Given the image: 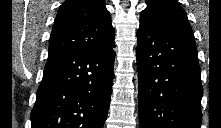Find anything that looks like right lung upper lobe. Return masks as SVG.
Returning <instances> with one entry per match:
<instances>
[{
	"label": "right lung upper lobe",
	"mask_w": 221,
	"mask_h": 128,
	"mask_svg": "<svg viewBox=\"0 0 221 128\" xmlns=\"http://www.w3.org/2000/svg\"><path fill=\"white\" fill-rule=\"evenodd\" d=\"M115 31L104 0H66L52 29L48 56L106 47Z\"/></svg>",
	"instance_id": "1"
}]
</instances>
